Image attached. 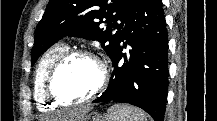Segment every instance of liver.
<instances>
[{"mask_svg":"<svg viewBox=\"0 0 217 121\" xmlns=\"http://www.w3.org/2000/svg\"><path fill=\"white\" fill-rule=\"evenodd\" d=\"M70 114L69 113H64V114H61L57 117V119L59 121H67L68 119L70 120Z\"/></svg>","mask_w":217,"mask_h":121,"instance_id":"obj_1","label":"liver"}]
</instances>
